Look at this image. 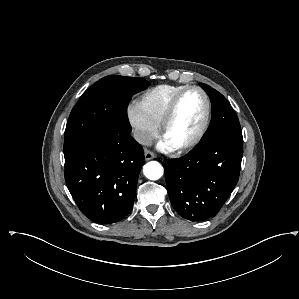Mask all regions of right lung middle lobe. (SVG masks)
<instances>
[{
    "label": "right lung middle lobe",
    "mask_w": 299,
    "mask_h": 299,
    "mask_svg": "<svg viewBox=\"0 0 299 299\" xmlns=\"http://www.w3.org/2000/svg\"><path fill=\"white\" fill-rule=\"evenodd\" d=\"M149 84L142 78L116 75L106 76L93 84L69 116L64 137L65 159L103 135L131 132L128 103L132 95Z\"/></svg>",
    "instance_id": "right-lung-middle-lobe-1"
}]
</instances>
